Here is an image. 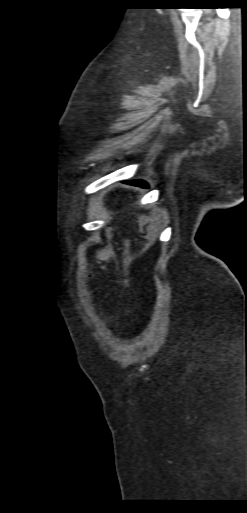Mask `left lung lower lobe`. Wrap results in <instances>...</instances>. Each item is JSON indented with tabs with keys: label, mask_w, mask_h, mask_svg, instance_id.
<instances>
[{
	"label": "left lung lower lobe",
	"mask_w": 247,
	"mask_h": 513,
	"mask_svg": "<svg viewBox=\"0 0 247 513\" xmlns=\"http://www.w3.org/2000/svg\"><path fill=\"white\" fill-rule=\"evenodd\" d=\"M128 184L135 185V186H140V187H143V188H148L147 183H145L144 181H140V180L130 181V182H128Z\"/></svg>",
	"instance_id": "left-lung-lower-lobe-1"
}]
</instances>
